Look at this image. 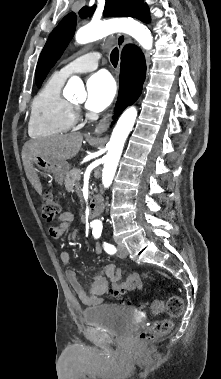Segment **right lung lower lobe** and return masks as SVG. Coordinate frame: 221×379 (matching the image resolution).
I'll return each mask as SVG.
<instances>
[{"label": "right lung lower lobe", "instance_id": "obj_1", "mask_svg": "<svg viewBox=\"0 0 221 379\" xmlns=\"http://www.w3.org/2000/svg\"><path fill=\"white\" fill-rule=\"evenodd\" d=\"M146 75L145 58L141 50L127 45L121 56L120 90L116 106V118L140 96Z\"/></svg>", "mask_w": 221, "mask_h": 379}]
</instances>
